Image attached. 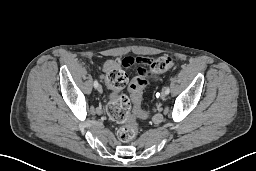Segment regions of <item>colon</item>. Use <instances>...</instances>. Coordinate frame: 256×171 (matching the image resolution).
Segmentation results:
<instances>
[{"label": "colon", "mask_w": 256, "mask_h": 171, "mask_svg": "<svg viewBox=\"0 0 256 171\" xmlns=\"http://www.w3.org/2000/svg\"><path fill=\"white\" fill-rule=\"evenodd\" d=\"M173 66V59L169 55H163L151 60L150 67L154 73H163ZM106 83L112 90L106 107L109 118L122 126L118 129L117 136L122 142L134 140L138 134V125L133 114H146L140 108L143 89L146 80L143 77L135 78L128 86L130 97L121 94L120 91L127 84V74L123 69H114L106 75Z\"/></svg>", "instance_id": "obj_1"}]
</instances>
